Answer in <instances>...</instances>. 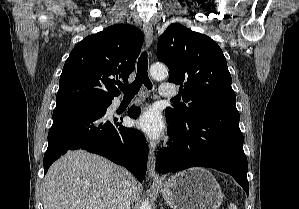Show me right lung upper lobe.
<instances>
[{"instance_id": "cb5924a9", "label": "right lung upper lobe", "mask_w": 299, "mask_h": 209, "mask_svg": "<svg viewBox=\"0 0 299 209\" xmlns=\"http://www.w3.org/2000/svg\"><path fill=\"white\" fill-rule=\"evenodd\" d=\"M143 40L141 30L127 24L83 39L64 64L56 102H110L120 94L117 80L128 82Z\"/></svg>"}]
</instances>
